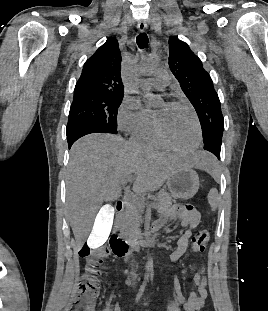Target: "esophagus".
I'll return each mask as SVG.
<instances>
[{"mask_svg":"<svg viewBox=\"0 0 268 311\" xmlns=\"http://www.w3.org/2000/svg\"><path fill=\"white\" fill-rule=\"evenodd\" d=\"M137 28L139 32L143 33L147 29V24L144 20L138 21Z\"/></svg>","mask_w":268,"mask_h":311,"instance_id":"1","label":"esophagus"}]
</instances>
